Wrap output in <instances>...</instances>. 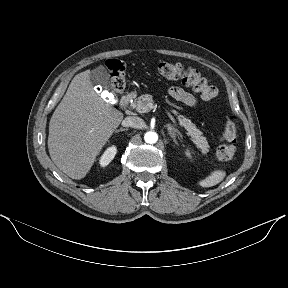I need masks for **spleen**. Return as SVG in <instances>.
Here are the masks:
<instances>
[{
  "label": "spleen",
  "mask_w": 288,
  "mask_h": 288,
  "mask_svg": "<svg viewBox=\"0 0 288 288\" xmlns=\"http://www.w3.org/2000/svg\"><path fill=\"white\" fill-rule=\"evenodd\" d=\"M225 175L226 173L224 171H214L209 177L200 181L199 184L202 187L214 186L220 183L224 179Z\"/></svg>",
  "instance_id": "spleen-1"
}]
</instances>
